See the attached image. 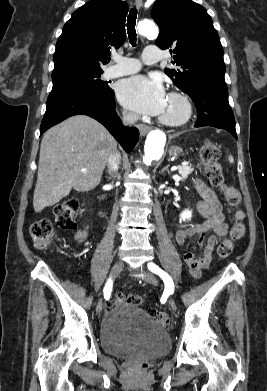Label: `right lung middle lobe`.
Wrapping results in <instances>:
<instances>
[{
    "mask_svg": "<svg viewBox=\"0 0 267 391\" xmlns=\"http://www.w3.org/2000/svg\"><path fill=\"white\" fill-rule=\"evenodd\" d=\"M103 71L98 72H73L53 76V88L50 94L65 90L81 89L92 92L108 93L112 89L108 84L100 80Z\"/></svg>",
    "mask_w": 267,
    "mask_h": 391,
    "instance_id": "right-lung-middle-lobe-1",
    "label": "right lung middle lobe"
}]
</instances>
